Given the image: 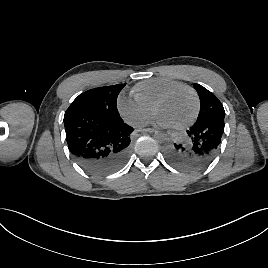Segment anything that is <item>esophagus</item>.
Returning a JSON list of instances; mask_svg holds the SVG:
<instances>
[{
    "label": "esophagus",
    "mask_w": 268,
    "mask_h": 268,
    "mask_svg": "<svg viewBox=\"0 0 268 268\" xmlns=\"http://www.w3.org/2000/svg\"><path fill=\"white\" fill-rule=\"evenodd\" d=\"M137 131L138 132H140V133H153V132H155V130L154 129H152V128H139V129H137Z\"/></svg>",
    "instance_id": "1"
}]
</instances>
